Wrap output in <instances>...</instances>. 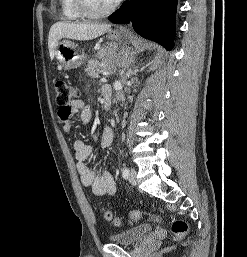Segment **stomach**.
Returning a JSON list of instances; mask_svg holds the SVG:
<instances>
[{"mask_svg": "<svg viewBox=\"0 0 247 257\" xmlns=\"http://www.w3.org/2000/svg\"><path fill=\"white\" fill-rule=\"evenodd\" d=\"M110 40L100 50V57L110 59L114 64L127 67L133 62V52L127 46L128 36L121 31H111L108 35ZM56 59L66 69H75L84 62V56L77 50V44L69 40L61 41L57 46Z\"/></svg>", "mask_w": 247, "mask_h": 257, "instance_id": "obj_1", "label": "stomach"}]
</instances>
